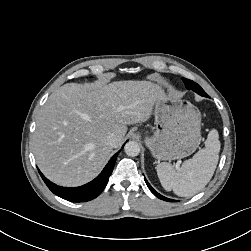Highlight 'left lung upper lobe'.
Wrapping results in <instances>:
<instances>
[{
  "label": "left lung upper lobe",
  "instance_id": "1",
  "mask_svg": "<svg viewBox=\"0 0 251 251\" xmlns=\"http://www.w3.org/2000/svg\"><path fill=\"white\" fill-rule=\"evenodd\" d=\"M182 80L185 83V86L188 90H193L194 92L198 93L201 96L209 97L208 94L197 83L186 78H182Z\"/></svg>",
  "mask_w": 251,
  "mask_h": 251
}]
</instances>
